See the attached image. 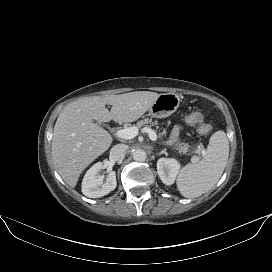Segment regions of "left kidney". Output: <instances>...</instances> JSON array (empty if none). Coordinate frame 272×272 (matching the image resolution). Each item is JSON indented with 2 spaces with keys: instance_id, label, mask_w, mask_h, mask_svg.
I'll return each instance as SVG.
<instances>
[{
  "instance_id": "left-kidney-1",
  "label": "left kidney",
  "mask_w": 272,
  "mask_h": 272,
  "mask_svg": "<svg viewBox=\"0 0 272 272\" xmlns=\"http://www.w3.org/2000/svg\"><path fill=\"white\" fill-rule=\"evenodd\" d=\"M180 170V163L173 158H160L157 161V172L161 181L166 185H172Z\"/></svg>"
}]
</instances>
